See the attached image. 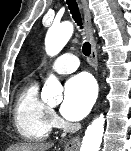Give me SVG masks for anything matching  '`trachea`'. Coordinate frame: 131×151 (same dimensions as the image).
Returning a JSON list of instances; mask_svg holds the SVG:
<instances>
[{"instance_id":"trachea-1","label":"trachea","mask_w":131,"mask_h":151,"mask_svg":"<svg viewBox=\"0 0 131 151\" xmlns=\"http://www.w3.org/2000/svg\"><path fill=\"white\" fill-rule=\"evenodd\" d=\"M70 13L72 14V18L75 20L78 26L82 28V19L79 12V8L76 0H66ZM82 52L85 56H89L91 54V45L88 42H85L82 47Z\"/></svg>"}]
</instances>
